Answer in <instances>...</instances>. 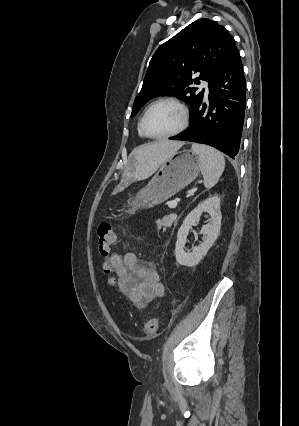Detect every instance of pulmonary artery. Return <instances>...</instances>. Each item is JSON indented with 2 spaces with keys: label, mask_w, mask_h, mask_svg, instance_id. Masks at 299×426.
I'll list each match as a JSON object with an SVG mask.
<instances>
[{
  "label": "pulmonary artery",
  "mask_w": 299,
  "mask_h": 426,
  "mask_svg": "<svg viewBox=\"0 0 299 426\" xmlns=\"http://www.w3.org/2000/svg\"><path fill=\"white\" fill-rule=\"evenodd\" d=\"M201 88H203V89H204L205 96H208V95H209V87H208L207 82H203V83L201 84Z\"/></svg>",
  "instance_id": "e3ab8cb5"
}]
</instances>
